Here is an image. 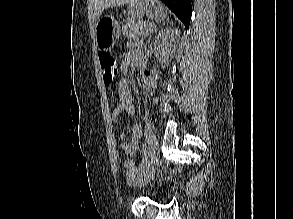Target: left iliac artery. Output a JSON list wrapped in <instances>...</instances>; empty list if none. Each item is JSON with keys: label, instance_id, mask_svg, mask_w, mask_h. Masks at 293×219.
<instances>
[{"label": "left iliac artery", "instance_id": "left-iliac-artery-1", "mask_svg": "<svg viewBox=\"0 0 293 219\" xmlns=\"http://www.w3.org/2000/svg\"><path fill=\"white\" fill-rule=\"evenodd\" d=\"M145 143L143 145V162L147 161L149 157H151V150H150V129H151V119L150 113L148 109H145Z\"/></svg>", "mask_w": 293, "mask_h": 219}]
</instances>
